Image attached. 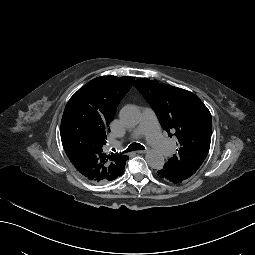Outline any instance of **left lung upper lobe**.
<instances>
[{"label":"left lung upper lobe","instance_id":"5c2ea615","mask_svg":"<svg viewBox=\"0 0 255 255\" xmlns=\"http://www.w3.org/2000/svg\"><path fill=\"white\" fill-rule=\"evenodd\" d=\"M155 111L169 136L178 138L179 149L163 170L182 182L191 177L206 158L211 142L212 118L208 108L190 91L138 79L133 84Z\"/></svg>","mask_w":255,"mask_h":255}]
</instances>
